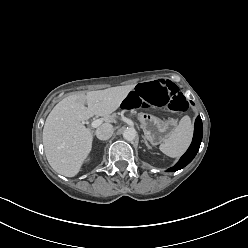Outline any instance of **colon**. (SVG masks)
<instances>
[{
    "instance_id": "obj_1",
    "label": "colon",
    "mask_w": 248,
    "mask_h": 248,
    "mask_svg": "<svg viewBox=\"0 0 248 248\" xmlns=\"http://www.w3.org/2000/svg\"><path fill=\"white\" fill-rule=\"evenodd\" d=\"M122 106L127 111L155 107L182 113L186 110V101L175 84L158 80L131 88L128 96L123 99Z\"/></svg>"
}]
</instances>
